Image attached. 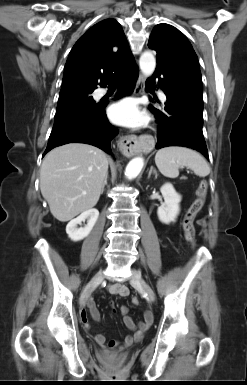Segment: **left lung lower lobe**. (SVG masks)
Masks as SVG:
<instances>
[{
  "label": "left lung lower lobe",
  "instance_id": "1",
  "mask_svg": "<svg viewBox=\"0 0 247 385\" xmlns=\"http://www.w3.org/2000/svg\"><path fill=\"white\" fill-rule=\"evenodd\" d=\"M156 77L159 78L158 87L167 97L163 110L149 106L159 124L156 148L184 146L198 150L208 158L202 132V95L191 90L166 65L158 61L153 77L147 80L146 90L154 85ZM152 89L154 90L155 87Z\"/></svg>",
  "mask_w": 247,
  "mask_h": 385
}]
</instances>
